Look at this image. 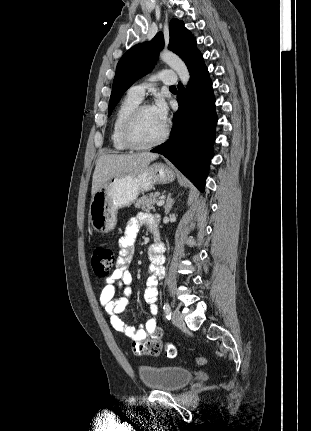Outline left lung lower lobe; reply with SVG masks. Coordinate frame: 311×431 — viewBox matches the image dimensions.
Segmentation results:
<instances>
[{"instance_id":"1","label":"left lung lower lobe","mask_w":311,"mask_h":431,"mask_svg":"<svg viewBox=\"0 0 311 431\" xmlns=\"http://www.w3.org/2000/svg\"><path fill=\"white\" fill-rule=\"evenodd\" d=\"M190 81L184 90L178 84L179 109L174 114L170 139L151 152L164 155L194 185L204 190L213 156L217 117L212 83L202 54L198 52L189 65Z\"/></svg>"}]
</instances>
